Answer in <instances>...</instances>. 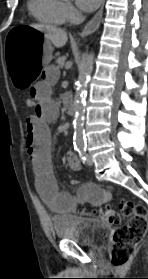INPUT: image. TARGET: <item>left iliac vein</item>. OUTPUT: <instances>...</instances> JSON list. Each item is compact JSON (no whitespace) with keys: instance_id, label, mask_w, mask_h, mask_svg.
Wrapping results in <instances>:
<instances>
[{"instance_id":"left-iliac-vein-1","label":"left iliac vein","mask_w":148,"mask_h":279,"mask_svg":"<svg viewBox=\"0 0 148 279\" xmlns=\"http://www.w3.org/2000/svg\"><path fill=\"white\" fill-rule=\"evenodd\" d=\"M86 163H87L89 166H92V165H93L92 157H91L89 154L86 155Z\"/></svg>"}]
</instances>
